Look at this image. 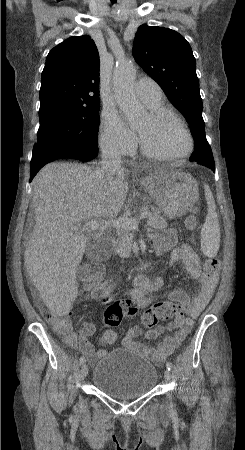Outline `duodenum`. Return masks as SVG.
Segmentation results:
<instances>
[{
	"label": "duodenum",
	"instance_id": "410a0bca",
	"mask_svg": "<svg viewBox=\"0 0 245 450\" xmlns=\"http://www.w3.org/2000/svg\"><path fill=\"white\" fill-rule=\"evenodd\" d=\"M109 244L111 246H114L116 244V240L114 238H110L109 239ZM149 263H144L143 265L139 266L137 268L138 271L145 269L146 267H148Z\"/></svg>",
	"mask_w": 245,
	"mask_h": 450
}]
</instances>
